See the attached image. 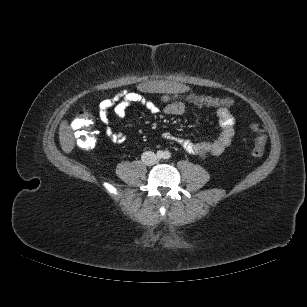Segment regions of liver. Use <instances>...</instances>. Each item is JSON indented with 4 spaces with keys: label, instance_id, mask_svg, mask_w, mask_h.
Wrapping results in <instances>:
<instances>
[{
    "label": "liver",
    "instance_id": "1",
    "mask_svg": "<svg viewBox=\"0 0 307 307\" xmlns=\"http://www.w3.org/2000/svg\"><path fill=\"white\" fill-rule=\"evenodd\" d=\"M137 89L141 93L152 94L156 92H163L165 94H177L185 96L190 91V86L187 82L181 79H165L156 77L146 79L139 83ZM59 140L61 148L65 153H70L74 148V137L72 130L66 120H63L59 126Z\"/></svg>",
    "mask_w": 307,
    "mask_h": 307
}]
</instances>
